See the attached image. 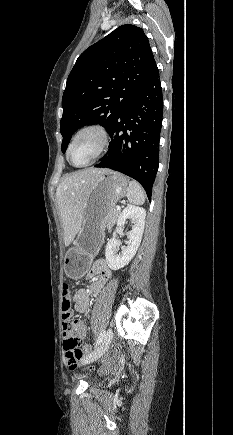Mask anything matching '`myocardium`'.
<instances>
[{
  "mask_svg": "<svg viewBox=\"0 0 233 435\" xmlns=\"http://www.w3.org/2000/svg\"><path fill=\"white\" fill-rule=\"evenodd\" d=\"M87 134H92L94 136L97 137L98 139V148L96 153L94 154L93 158L91 160H89L88 162L82 164V165H75L70 161V150L72 148V146L74 145V143L81 138L84 135ZM109 142V133L108 131L97 124H87L84 125L82 127H80L79 129L76 130V132L73 134L68 146H67V150H66V158L67 161L70 163L71 166L76 167V168H85L88 167L92 164H94L103 154V152L105 151L107 145Z\"/></svg>",
  "mask_w": 233,
  "mask_h": 435,
  "instance_id": "myocardium-1",
  "label": "myocardium"
}]
</instances>
